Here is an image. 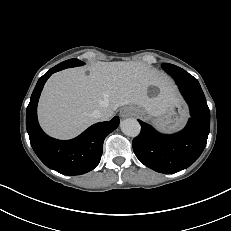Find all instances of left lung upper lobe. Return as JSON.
<instances>
[{
    "instance_id": "5c2ea615",
    "label": "left lung upper lobe",
    "mask_w": 231,
    "mask_h": 231,
    "mask_svg": "<svg viewBox=\"0 0 231 231\" xmlns=\"http://www.w3.org/2000/svg\"><path fill=\"white\" fill-rule=\"evenodd\" d=\"M175 67H177V66L172 65V64H163V65H162V68H163V69H165V68H175Z\"/></svg>"
}]
</instances>
